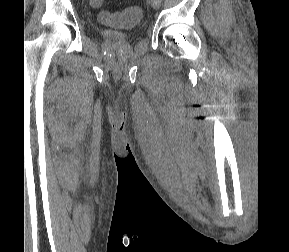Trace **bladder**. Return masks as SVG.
<instances>
[{
    "instance_id": "31cf9c89",
    "label": "bladder",
    "mask_w": 289,
    "mask_h": 252,
    "mask_svg": "<svg viewBox=\"0 0 289 252\" xmlns=\"http://www.w3.org/2000/svg\"><path fill=\"white\" fill-rule=\"evenodd\" d=\"M99 34L106 43L114 45L127 43L135 35L134 32H121L112 29H99Z\"/></svg>"
}]
</instances>
